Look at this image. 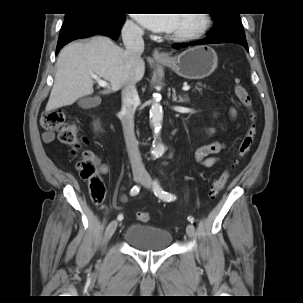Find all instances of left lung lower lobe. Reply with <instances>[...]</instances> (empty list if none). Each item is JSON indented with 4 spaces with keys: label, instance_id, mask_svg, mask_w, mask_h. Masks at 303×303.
I'll return each mask as SVG.
<instances>
[{
    "label": "left lung lower lobe",
    "instance_id": "left-lung-lower-lobe-1",
    "mask_svg": "<svg viewBox=\"0 0 303 303\" xmlns=\"http://www.w3.org/2000/svg\"><path fill=\"white\" fill-rule=\"evenodd\" d=\"M233 42L242 45L248 51V45L245 39V36H218V37H206L203 40L191 43H176L173 45L175 49H180L183 47L194 46V45H202V44H210V43H227Z\"/></svg>",
    "mask_w": 303,
    "mask_h": 303
}]
</instances>
